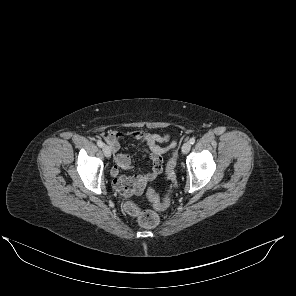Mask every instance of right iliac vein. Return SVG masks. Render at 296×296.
Instances as JSON below:
<instances>
[{
	"instance_id": "obj_1",
	"label": "right iliac vein",
	"mask_w": 296,
	"mask_h": 296,
	"mask_svg": "<svg viewBox=\"0 0 296 296\" xmlns=\"http://www.w3.org/2000/svg\"><path fill=\"white\" fill-rule=\"evenodd\" d=\"M103 153L107 158H110L111 156V149L108 145H103L102 147Z\"/></svg>"
}]
</instances>
